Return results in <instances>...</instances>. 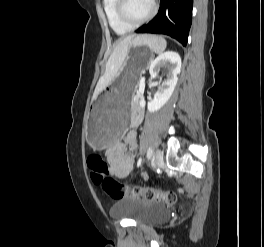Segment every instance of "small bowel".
Here are the masks:
<instances>
[{
	"label": "small bowel",
	"mask_w": 264,
	"mask_h": 247,
	"mask_svg": "<svg viewBox=\"0 0 264 247\" xmlns=\"http://www.w3.org/2000/svg\"><path fill=\"white\" fill-rule=\"evenodd\" d=\"M142 119V114L138 113L131 119V125L136 127ZM138 147L137 132L131 129L123 141L117 142L107 150V158L110 165L111 174L117 178L127 177L133 169L134 159L128 150H135Z\"/></svg>",
	"instance_id": "1"
}]
</instances>
